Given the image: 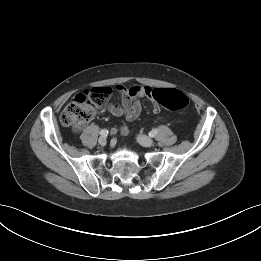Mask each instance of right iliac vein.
I'll return each mask as SVG.
<instances>
[{
	"label": "right iliac vein",
	"instance_id": "1",
	"mask_svg": "<svg viewBox=\"0 0 261 261\" xmlns=\"http://www.w3.org/2000/svg\"><path fill=\"white\" fill-rule=\"evenodd\" d=\"M98 143L101 145V146H105L106 143H107V139L105 136H101L99 139H98Z\"/></svg>",
	"mask_w": 261,
	"mask_h": 261
}]
</instances>
